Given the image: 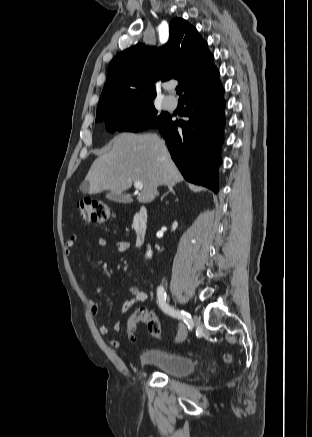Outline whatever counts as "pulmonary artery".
Masks as SVG:
<instances>
[{
  "label": "pulmonary artery",
  "mask_w": 312,
  "mask_h": 437,
  "mask_svg": "<svg viewBox=\"0 0 312 437\" xmlns=\"http://www.w3.org/2000/svg\"><path fill=\"white\" fill-rule=\"evenodd\" d=\"M164 105L169 110H174L177 107V101L172 97H167L164 100Z\"/></svg>",
  "instance_id": "1"
}]
</instances>
